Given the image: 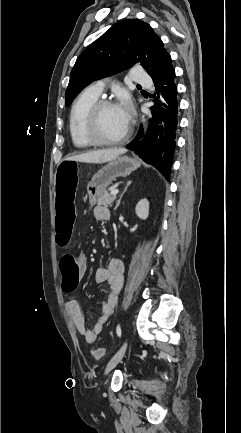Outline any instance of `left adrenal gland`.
Wrapping results in <instances>:
<instances>
[{"label": "left adrenal gland", "mask_w": 241, "mask_h": 433, "mask_svg": "<svg viewBox=\"0 0 241 433\" xmlns=\"http://www.w3.org/2000/svg\"><path fill=\"white\" fill-rule=\"evenodd\" d=\"M131 183H132V181H128L126 183V186H125L122 194L120 195L119 199L117 200V203H116L114 210H116L118 208V206L120 205L121 199H122L123 195L125 194V192L127 191V188L131 185Z\"/></svg>", "instance_id": "1"}]
</instances>
